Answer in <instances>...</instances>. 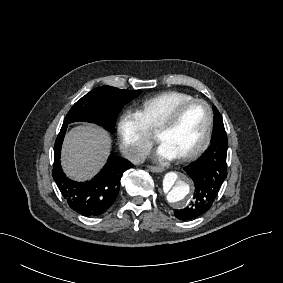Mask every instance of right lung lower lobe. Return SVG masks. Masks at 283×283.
Masks as SVG:
<instances>
[{
	"label": "right lung lower lobe",
	"mask_w": 283,
	"mask_h": 283,
	"mask_svg": "<svg viewBox=\"0 0 283 283\" xmlns=\"http://www.w3.org/2000/svg\"><path fill=\"white\" fill-rule=\"evenodd\" d=\"M67 125H62L54 146L52 176L70 208L84 216L103 214L115 201L120 180L125 170L133 165L124 158L110 155L104 168L92 180L77 182L70 180L60 165V153Z\"/></svg>",
	"instance_id": "1"
}]
</instances>
